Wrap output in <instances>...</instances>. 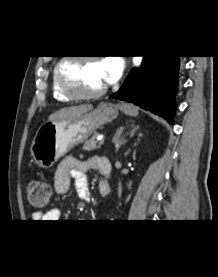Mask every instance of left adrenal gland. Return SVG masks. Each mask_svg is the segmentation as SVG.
Wrapping results in <instances>:
<instances>
[{
	"mask_svg": "<svg viewBox=\"0 0 218 277\" xmlns=\"http://www.w3.org/2000/svg\"><path fill=\"white\" fill-rule=\"evenodd\" d=\"M131 127L132 129L129 131V133H126V136L129 135L130 137H132L135 134V132L138 130V126L131 125ZM123 130H124V127L119 128V130L116 132L113 138V142L115 143V146H116V151L119 150L121 145L127 142V140L124 137H121L123 134Z\"/></svg>",
	"mask_w": 218,
	"mask_h": 277,
	"instance_id": "left-adrenal-gland-1",
	"label": "left adrenal gland"
}]
</instances>
